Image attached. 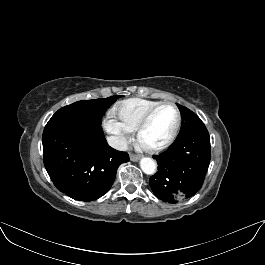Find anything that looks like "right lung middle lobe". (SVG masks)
Instances as JSON below:
<instances>
[{
  "label": "right lung middle lobe",
  "instance_id": "dd1d6c3e",
  "mask_svg": "<svg viewBox=\"0 0 265 265\" xmlns=\"http://www.w3.org/2000/svg\"><path fill=\"white\" fill-rule=\"evenodd\" d=\"M122 97V95H114L108 98L77 101L59 109L52 118L72 117L80 119H88L97 123H101L102 116L106 108L114 100Z\"/></svg>",
  "mask_w": 265,
  "mask_h": 265
}]
</instances>
